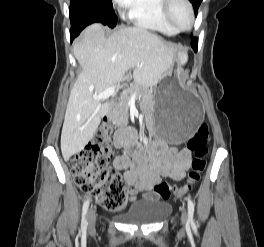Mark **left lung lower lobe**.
Returning a JSON list of instances; mask_svg holds the SVG:
<instances>
[{"instance_id": "1", "label": "left lung lower lobe", "mask_w": 264, "mask_h": 247, "mask_svg": "<svg viewBox=\"0 0 264 247\" xmlns=\"http://www.w3.org/2000/svg\"><path fill=\"white\" fill-rule=\"evenodd\" d=\"M197 47H198V38H193L192 39V48L194 49V51H197Z\"/></svg>"}]
</instances>
